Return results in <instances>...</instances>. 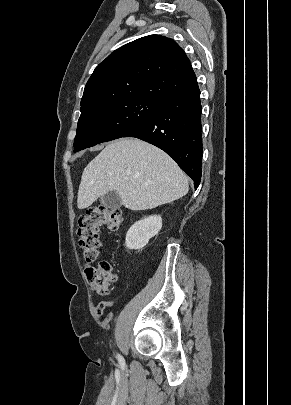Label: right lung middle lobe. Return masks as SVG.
Returning a JSON list of instances; mask_svg holds the SVG:
<instances>
[{
	"label": "right lung middle lobe",
	"mask_w": 291,
	"mask_h": 405,
	"mask_svg": "<svg viewBox=\"0 0 291 405\" xmlns=\"http://www.w3.org/2000/svg\"><path fill=\"white\" fill-rule=\"evenodd\" d=\"M161 103L146 98H125L81 109L74 152L124 137L146 122Z\"/></svg>",
	"instance_id": "right-lung-middle-lobe-1"
}]
</instances>
